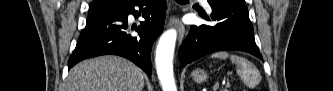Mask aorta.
I'll return each mask as SVG.
<instances>
[{
  "label": "aorta",
  "instance_id": "obj_1",
  "mask_svg": "<svg viewBox=\"0 0 333 91\" xmlns=\"http://www.w3.org/2000/svg\"><path fill=\"white\" fill-rule=\"evenodd\" d=\"M176 39V30H168L161 36L156 49V70L163 91H176L173 74V56Z\"/></svg>",
  "mask_w": 333,
  "mask_h": 91
}]
</instances>
